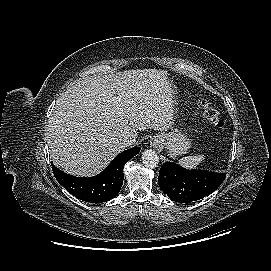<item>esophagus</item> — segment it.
<instances>
[{"label": "esophagus", "instance_id": "1", "mask_svg": "<svg viewBox=\"0 0 271 271\" xmlns=\"http://www.w3.org/2000/svg\"><path fill=\"white\" fill-rule=\"evenodd\" d=\"M150 144L152 147L160 149L162 147V139L160 136H154L151 141Z\"/></svg>", "mask_w": 271, "mask_h": 271}]
</instances>
